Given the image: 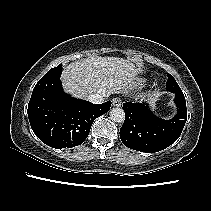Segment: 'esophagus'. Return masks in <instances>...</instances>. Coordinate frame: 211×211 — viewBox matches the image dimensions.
I'll return each mask as SVG.
<instances>
[{"mask_svg": "<svg viewBox=\"0 0 211 211\" xmlns=\"http://www.w3.org/2000/svg\"><path fill=\"white\" fill-rule=\"evenodd\" d=\"M112 104L114 107H120L122 104V100L119 97L113 99Z\"/></svg>", "mask_w": 211, "mask_h": 211, "instance_id": "34e87169", "label": "esophagus"}]
</instances>
